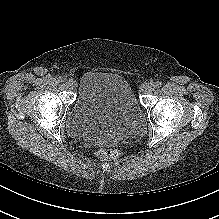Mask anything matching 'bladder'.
I'll use <instances>...</instances> for the list:
<instances>
[{
  "mask_svg": "<svg viewBox=\"0 0 219 219\" xmlns=\"http://www.w3.org/2000/svg\"><path fill=\"white\" fill-rule=\"evenodd\" d=\"M77 88L66 115L67 131L73 138L109 144L143 131L145 112L121 75L89 71L79 78Z\"/></svg>",
  "mask_w": 219,
  "mask_h": 219,
  "instance_id": "bladder-1",
  "label": "bladder"
}]
</instances>
